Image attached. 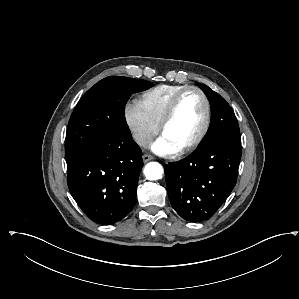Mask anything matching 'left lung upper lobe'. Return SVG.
I'll return each mask as SVG.
<instances>
[{
  "mask_svg": "<svg viewBox=\"0 0 299 299\" xmlns=\"http://www.w3.org/2000/svg\"><path fill=\"white\" fill-rule=\"evenodd\" d=\"M198 85L206 94L211 105L210 126L198 147L216 141H230L241 144L239 125L232 108L223 97L208 86Z\"/></svg>",
  "mask_w": 299,
  "mask_h": 299,
  "instance_id": "left-lung-upper-lobe-1",
  "label": "left lung upper lobe"
}]
</instances>
